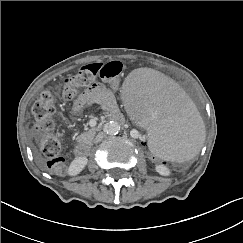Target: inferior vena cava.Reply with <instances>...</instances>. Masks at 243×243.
<instances>
[{"label":"inferior vena cava","instance_id":"1","mask_svg":"<svg viewBox=\"0 0 243 243\" xmlns=\"http://www.w3.org/2000/svg\"><path fill=\"white\" fill-rule=\"evenodd\" d=\"M105 134L104 132H100L96 135V137L94 138V143H99L103 138H104Z\"/></svg>","mask_w":243,"mask_h":243}]
</instances>
